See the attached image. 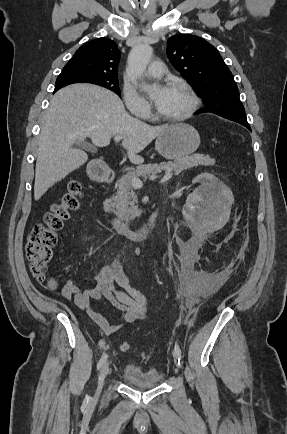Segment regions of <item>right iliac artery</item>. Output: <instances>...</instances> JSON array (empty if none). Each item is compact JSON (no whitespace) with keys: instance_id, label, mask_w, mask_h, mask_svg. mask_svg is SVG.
Wrapping results in <instances>:
<instances>
[{"instance_id":"1","label":"right iliac artery","mask_w":287,"mask_h":434,"mask_svg":"<svg viewBox=\"0 0 287 434\" xmlns=\"http://www.w3.org/2000/svg\"><path fill=\"white\" fill-rule=\"evenodd\" d=\"M106 359H107V354L104 353L97 363V370H99L102 367V365L105 363Z\"/></svg>"}]
</instances>
